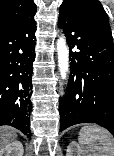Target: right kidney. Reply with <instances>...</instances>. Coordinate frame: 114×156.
Segmentation results:
<instances>
[{"label":"right kidney","instance_id":"obj_1","mask_svg":"<svg viewBox=\"0 0 114 156\" xmlns=\"http://www.w3.org/2000/svg\"><path fill=\"white\" fill-rule=\"evenodd\" d=\"M23 145L20 141H13L0 150V156H23Z\"/></svg>","mask_w":114,"mask_h":156}]
</instances>
